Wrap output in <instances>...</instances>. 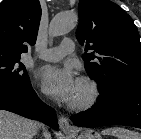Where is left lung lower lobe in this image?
<instances>
[{
  "label": "left lung lower lobe",
  "mask_w": 141,
  "mask_h": 139,
  "mask_svg": "<svg viewBox=\"0 0 141 139\" xmlns=\"http://www.w3.org/2000/svg\"><path fill=\"white\" fill-rule=\"evenodd\" d=\"M80 127L126 125L141 128V83L122 84L85 112L70 117Z\"/></svg>",
  "instance_id": "obj_1"
}]
</instances>
